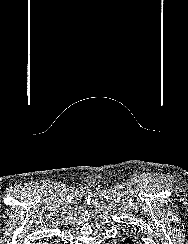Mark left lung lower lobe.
Wrapping results in <instances>:
<instances>
[{"instance_id": "0a47b994", "label": "left lung lower lobe", "mask_w": 188, "mask_h": 244, "mask_svg": "<svg viewBox=\"0 0 188 244\" xmlns=\"http://www.w3.org/2000/svg\"><path fill=\"white\" fill-rule=\"evenodd\" d=\"M119 243L120 244H136V241L132 236H127L123 240H120Z\"/></svg>"}]
</instances>
